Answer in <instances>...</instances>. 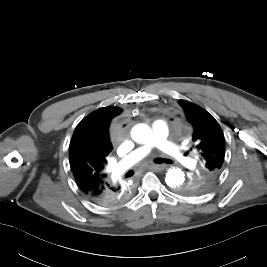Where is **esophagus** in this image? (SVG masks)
<instances>
[{"label": "esophagus", "instance_id": "obj_1", "mask_svg": "<svg viewBox=\"0 0 267 267\" xmlns=\"http://www.w3.org/2000/svg\"><path fill=\"white\" fill-rule=\"evenodd\" d=\"M165 165L163 164H154V165H150V169L155 170V171H162L164 170Z\"/></svg>", "mask_w": 267, "mask_h": 267}]
</instances>
